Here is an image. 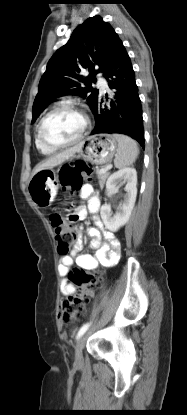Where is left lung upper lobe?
<instances>
[{
  "label": "left lung upper lobe",
  "instance_id": "5c2ea615",
  "mask_svg": "<svg viewBox=\"0 0 187 415\" xmlns=\"http://www.w3.org/2000/svg\"><path fill=\"white\" fill-rule=\"evenodd\" d=\"M117 37L112 26L100 16L87 19L74 30L69 41L51 57L41 77L32 109V123L47 105L64 95H80L87 99L91 110L94 109L100 95L91 84L96 82L98 72L105 71ZM84 70L89 71L88 76L81 74Z\"/></svg>",
  "mask_w": 187,
  "mask_h": 415
}]
</instances>
